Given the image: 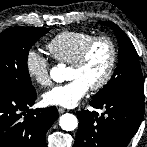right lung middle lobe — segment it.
Instances as JSON below:
<instances>
[{
	"mask_svg": "<svg viewBox=\"0 0 147 147\" xmlns=\"http://www.w3.org/2000/svg\"><path fill=\"white\" fill-rule=\"evenodd\" d=\"M49 28L11 27L0 33V91L28 92L31 84L27 58L31 46Z\"/></svg>",
	"mask_w": 147,
	"mask_h": 147,
	"instance_id": "dd1d6c3e",
	"label": "right lung middle lobe"
}]
</instances>
